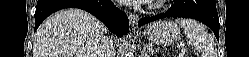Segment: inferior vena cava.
Returning a JSON list of instances; mask_svg holds the SVG:
<instances>
[{
  "mask_svg": "<svg viewBox=\"0 0 249 57\" xmlns=\"http://www.w3.org/2000/svg\"><path fill=\"white\" fill-rule=\"evenodd\" d=\"M98 57H115L113 41L103 36Z\"/></svg>",
  "mask_w": 249,
  "mask_h": 57,
  "instance_id": "inferior-vena-cava-1",
  "label": "inferior vena cava"
}]
</instances>
